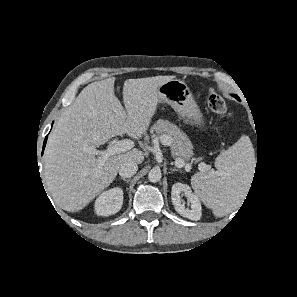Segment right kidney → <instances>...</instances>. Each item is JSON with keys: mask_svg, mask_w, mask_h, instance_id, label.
I'll use <instances>...</instances> for the list:
<instances>
[{"mask_svg": "<svg viewBox=\"0 0 297 297\" xmlns=\"http://www.w3.org/2000/svg\"><path fill=\"white\" fill-rule=\"evenodd\" d=\"M123 204V190L114 187L104 191L95 201L94 211L98 216H109L117 213Z\"/></svg>", "mask_w": 297, "mask_h": 297, "instance_id": "ca27d5eb", "label": "right kidney"}]
</instances>
